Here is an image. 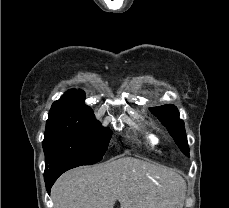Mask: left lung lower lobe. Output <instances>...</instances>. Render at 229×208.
I'll return each mask as SVG.
<instances>
[{
  "instance_id": "1",
  "label": "left lung lower lobe",
  "mask_w": 229,
  "mask_h": 208,
  "mask_svg": "<svg viewBox=\"0 0 229 208\" xmlns=\"http://www.w3.org/2000/svg\"><path fill=\"white\" fill-rule=\"evenodd\" d=\"M184 154L187 155V156H189V151L185 152Z\"/></svg>"
}]
</instances>
